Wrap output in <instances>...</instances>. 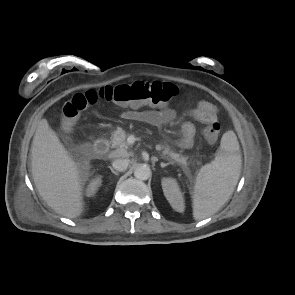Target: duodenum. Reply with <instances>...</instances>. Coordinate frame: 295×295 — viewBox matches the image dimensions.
<instances>
[{"label":"duodenum","mask_w":295,"mask_h":295,"mask_svg":"<svg viewBox=\"0 0 295 295\" xmlns=\"http://www.w3.org/2000/svg\"><path fill=\"white\" fill-rule=\"evenodd\" d=\"M109 150V141L106 138H100L93 144V151L97 155H104Z\"/></svg>","instance_id":"410a0bca"}]
</instances>
